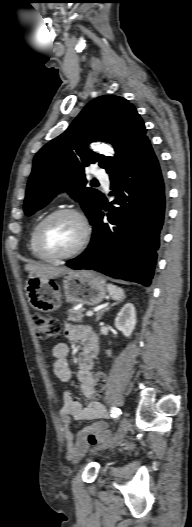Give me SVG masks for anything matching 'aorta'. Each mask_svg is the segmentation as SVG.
Instances as JSON below:
<instances>
[{
    "mask_svg": "<svg viewBox=\"0 0 192 527\" xmlns=\"http://www.w3.org/2000/svg\"><path fill=\"white\" fill-rule=\"evenodd\" d=\"M94 149L98 152H101L106 155H111L113 153L112 149L103 144H97L94 146Z\"/></svg>",
    "mask_w": 192,
    "mask_h": 527,
    "instance_id": "1",
    "label": "aorta"
}]
</instances>
